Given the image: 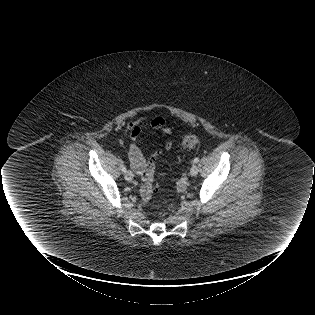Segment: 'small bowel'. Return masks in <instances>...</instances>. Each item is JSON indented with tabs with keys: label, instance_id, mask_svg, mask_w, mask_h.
<instances>
[{
	"label": "small bowel",
	"instance_id": "obj_1",
	"mask_svg": "<svg viewBox=\"0 0 315 315\" xmlns=\"http://www.w3.org/2000/svg\"><path fill=\"white\" fill-rule=\"evenodd\" d=\"M151 128L164 135L171 136L172 130L167 126L165 118L161 116H148L143 115L135 119L134 121L128 122L125 125L124 130L129 132L131 135L132 143L129 147V161L132 169L140 174L143 166L145 165V158L138 146V138L144 129ZM173 142L170 140L165 141L164 149L171 150ZM162 154V150H155L151 153L152 158H157Z\"/></svg>",
	"mask_w": 315,
	"mask_h": 315
}]
</instances>
